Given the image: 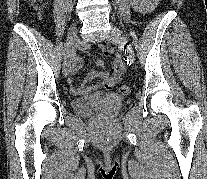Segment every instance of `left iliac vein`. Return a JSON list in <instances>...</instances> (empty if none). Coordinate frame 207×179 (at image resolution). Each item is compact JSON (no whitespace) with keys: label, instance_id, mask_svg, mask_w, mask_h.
Instances as JSON below:
<instances>
[{"label":"left iliac vein","instance_id":"4c4485c4","mask_svg":"<svg viewBox=\"0 0 207 179\" xmlns=\"http://www.w3.org/2000/svg\"><path fill=\"white\" fill-rule=\"evenodd\" d=\"M109 29L111 31L107 34V40L115 45L121 46L122 49H126V57L130 62H134L133 46L129 45L127 40H124L125 36L115 25H110Z\"/></svg>","mask_w":207,"mask_h":179}]
</instances>
